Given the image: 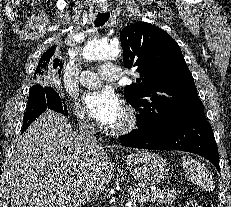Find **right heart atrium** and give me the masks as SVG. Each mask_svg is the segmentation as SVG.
Wrapping results in <instances>:
<instances>
[{
	"label": "right heart atrium",
	"mask_w": 231,
	"mask_h": 207,
	"mask_svg": "<svg viewBox=\"0 0 231 207\" xmlns=\"http://www.w3.org/2000/svg\"><path fill=\"white\" fill-rule=\"evenodd\" d=\"M74 113L77 117L79 125L84 129H92L94 127V123L88 114L80 107H74Z\"/></svg>",
	"instance_id": "1"
}]
</instances>
